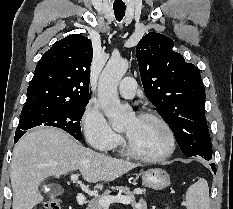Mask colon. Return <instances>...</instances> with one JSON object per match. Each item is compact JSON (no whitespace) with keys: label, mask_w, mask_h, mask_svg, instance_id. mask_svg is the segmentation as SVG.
<instances>
[{"label":"colon","mask_w":233,"mask_h":209,"mask_svg":"<svg viewBox=\"0 0 233 209\" xmlns=\"http://www.w3.org/2000/svg\"><path fill=\"white\" fill-rule=\"evenodd\" d=\"M44 209H61V202L59 199H51L44 203Z\"/></svg>","instance_id":"1"}]
</instances>
